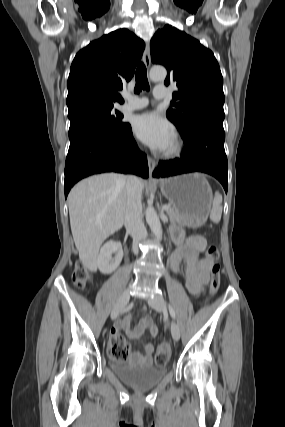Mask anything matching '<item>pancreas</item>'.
<instances>
[{"mask_svg": "<svg viewBox=\"0 0 285 427\" xmlns=\"http://www.w3.org/2000/svg\"><path fill=\"white\" fill-rule=\"evenodd\" d=\"M167 214H168L170 221L172 223L179 224L182 226H186V225H184V220H183L182 216L180 215V213L176 209L170 208L167 211Z\"/></svg>", "mask_w": 285, "mask_h": 427, "instance_id": "1", "label": "pancreas"}]
</instances>
